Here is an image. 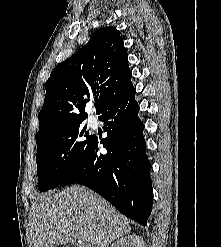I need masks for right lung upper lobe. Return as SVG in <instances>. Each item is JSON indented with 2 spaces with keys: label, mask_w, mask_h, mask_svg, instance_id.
I'll use <instances>...</instances> for the list:
<instances>
[{
  "label": "right lung upper lobe",
  "mask_w": 221,
  "mask_h": 247,
  "mask_svg": "<svg viewBox=\"0 0 221 247\" xmlns=\"http://www.w3.org/2000/svg\"><path fill=\"white\" fill-rule=\"evenodd\" d=\"M131 77L120 31L114 27L98 29L85 46L52 71L35 138L65 124L84 121V98L90 94L99 96L95 107L100 115L134 89Z\"/></svg>",
  "instance_id": "cb5924a9"
}]
</instances>
